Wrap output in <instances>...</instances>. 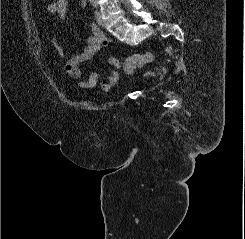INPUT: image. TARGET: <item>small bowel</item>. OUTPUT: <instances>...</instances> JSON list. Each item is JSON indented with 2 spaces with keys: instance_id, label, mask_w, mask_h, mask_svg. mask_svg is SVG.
Wrapping results in <instances>:
<instances>
[{
  "instance_id": "1",
  "label": "small bowel",
  "mask_w": 245,
  "mask_h": 239,
  "mask_svg": "<svg viewBox=\"0 0 245 239\" xmlns=\"http://www.w3.org/2000/svg\"><path fill=\"white\" fill-rule=\"evenodd\" d=\"M84 0L82 5H84ZM67 10V0H53L49 6L48 11L51 15L64 19ZM91 35L88 38L85 47L74 54L72 57L67 58L64 62V70L78 85L83 89H92L97 86L99 82V74L92 72L88 79H82L79 65L83 62L90 61L94 58L95 54L102 48L108 46L112 40L105 36L103 31L95 24L90 25ZM56 51L63 55L62 48L55 44ZM105 63L115 69L110 71L107 80L100 84L101 90L108 92L112 90L120 80V72L123 70L121 62L116 57H108Z\"/></svg>"
}]
</instances>
